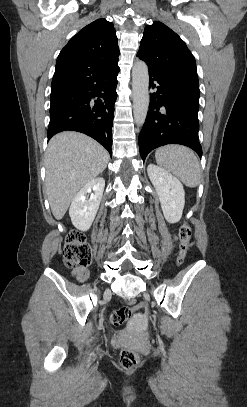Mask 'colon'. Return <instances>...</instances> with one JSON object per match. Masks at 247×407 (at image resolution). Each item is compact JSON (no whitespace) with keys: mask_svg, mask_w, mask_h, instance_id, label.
<instances>
[{"mask_svg":"<svg viewBox=\"0 0 247 407\" xmlns=\"http://www.w3.org/2000/svg\"><path fill=\"white\" fill-rule=\"evenodd\" d=\"M192 235L191 227L188 223H183L179 227L180 252L178 264H182L189 249V241ZM92 250L86 242L85 236L78 231H70L66 237L63 249V259L67 267L85 266L90 263ZM146 304L137 302L132 298L128 300L127 306L114 310L110 314V322L113 325L123 324L135 309L145 308ZM139 355L132 349H123L119 357V366L124 370H133L139 365Z\"/></svg>","mask_w":247,"mask_h":407,"instance_id":"obj_1","label":"colon"}]
</instances>
